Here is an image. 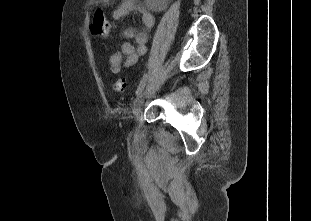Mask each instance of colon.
I'll use <instances>...</instances> for the list:
<instances>
[{
    "label": "colon",
    "mask_w": 311,
    "mask_h": 221,
    "mask_svg": "<svg viewBox=\"0 0 311 221\" xmlns=\"http://www.w3.org/2000/svg\"><path fill=\"white\" fill-rule=\"evenodd\" d=\"M91 31L97 37L108 36L112 33V26L110 22L104 17L101 11H97L94 14L93 24L90 26ZM112 89L116 93H121L126 90V82L124 79H117L112 86Z\"/></svg>",
    "instance_id": "colon-1"
}]
</instances>
